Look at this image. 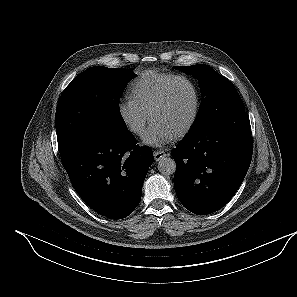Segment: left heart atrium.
I'll use <instances>...</instances> for the list:
<instances>
[{
	"label": "left heart atrium",
	"mask_w": 297,
	"mask_h": 297,
	"mask_svg": "<svg viewBox=\"0 0 297 297\" xmlns=\"http://www.w3.org/2000/svg\"><path fill=\"white\" fill-rule=\"evenodd\" d=\"M173 138L174 134L171 131L159 123L152 122L143 137V141L150 146H162L171 142Z\"/></svg>",
	"instance_id": "obj_1"
}]
</instances>
